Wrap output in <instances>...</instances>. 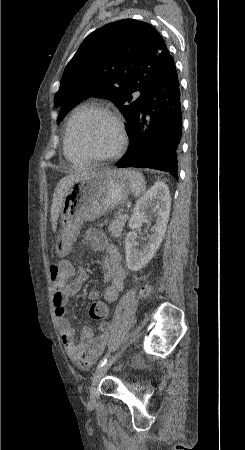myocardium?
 Segmentation results:
<instances>
[{
    "label": "myocardium",
    "instance_id": "f54148a6",
    "mask_svg": "<svg viewBox=\"0 0 245 450\" xmlns=\"http://www.w3.org/2000/svg\"><path fill=\"white\" fill-rule=\"evenodd\" d=\"M98 118H104L109 121H111L115 126L119 133V144L117 148L106 155L103 156H97L92 155L88 153L77 141V138L75 136V123L78 120H83L85 122H90ZM69 133L71 137V143L75 150H77L79 153H81L84 157L87 159H91L98 162H106V161H112L122 155V153L125 151L127 143H128V135L126 131V127L124 125V122L122 121L121 117L118 116L116 113L107 110V109H96L90 112L89 114L85 115L82 118H71L69 122Z\"/></svg>",
    "mask_w": 245,
    "mask_h": 450
}]
</instances>
